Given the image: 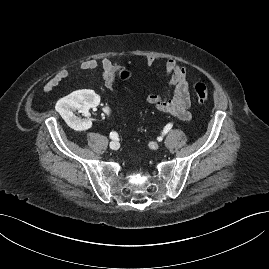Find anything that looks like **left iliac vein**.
Segmentation results:
<instances>
[{
    "label": "left iliac vein",
    "mask_w": 269,
    "mask_h": 269,
    "mask_svg": "<svg viewBox=\"0 0 269 269\" xmlns=\"http://www.w3.org/2000/svg\"><path fill=\"white\" fill-rule=\"evenodd\" d=\"M150 146H151V148H153V149H158V148H159V145L156 144V143H150Z\"/></svg>",
    "instance_id": "1"
}]
</instances>
